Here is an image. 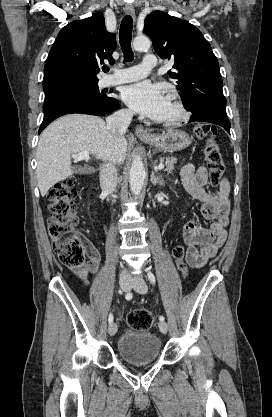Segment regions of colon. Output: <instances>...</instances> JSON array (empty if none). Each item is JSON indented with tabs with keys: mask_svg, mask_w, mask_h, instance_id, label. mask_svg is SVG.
Here are the masks:
<instances>
[{
	"mask_svg": "<svg viewBox=\"0 0 272 417\" xmlns=\"http://www.w3.org/2000/svg\"><path fill=\"white\" fill-rule=\"evenodd\" d=\"M195 135L206 139L204 155L209 170L210 182L218 185L224 173V163L216 141L217 130L208 123H201L194 128ZM76 195V180L67 177L56 183L48 192L49 212L48 233L53 249L60 261L68 266L82 265L85 260V245L75 232L77 225L76 207L73 198ZM173 258L178 270L187 275L184 262L185 247L178 245L173 249ZM155 322L152 311L144 308L131 311L127 316L128 325L136 330H149Z\"/></svg>",
	"mask_w": 272,
	"mask_h": 417,
	"instance_id": "1",
	"label": "colon"
}]
</instances>
